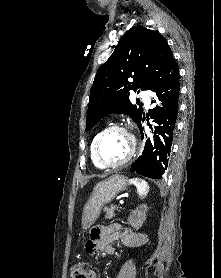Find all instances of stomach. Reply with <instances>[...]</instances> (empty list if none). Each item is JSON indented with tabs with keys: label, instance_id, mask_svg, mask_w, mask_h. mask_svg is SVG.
<instances>
[{
	"label": "stomach",
	"instance_id": "1",
	"mask_svg": "<svg viewBox=\"0 0 221 278\" xmlns=\"http://www.w3.org/2000/svg\"><path fill=\"white\" fill-rule=\"evenodd\" d=\"M127 179L122 175H112L99 182L93 189L90 198L83 208L82 228L88 229L98 219L102 208L111 202L118 193L126 190Z\"/></svg>",
	"mask_w": 221,
	"mask_h": 278
}]
</instances>
